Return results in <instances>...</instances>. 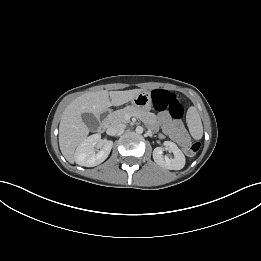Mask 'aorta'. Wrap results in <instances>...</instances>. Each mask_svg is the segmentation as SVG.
Returning a JSON list of instances; mask_svg holds the SVG:
<instances>
[{
  "label": "aorta",
  "instance_id": "obj_1",
  "mask_svg": "<svg viewBox=\"0 0 261 261\" xmlns=\"http://www.w3.org/2000/svg\"><path fill=\"white\" fill-rule=\"evenodd\" d=\"M136 133H138V134L143 133V127L137 126V127H136Z\"/></svg>",
  "mask_w": 261,
  "mask_h": 261
}]
</instances>
